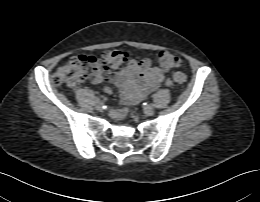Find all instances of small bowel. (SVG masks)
<instances>
[{"instance_id": "small-bowel-1", "label": "small bowel", "mask_w": 260, "mask_h": 202, "mask_svg": "<svg viewBox=\"0 0 260 202\" xmlns=\"http://www.w3.org/2000/svg\"><path fill=\"white\" fill-rule=\"evenodd\" d=\"M102 81L115 84L121 92L122 101L126 104H138L163 83L167 86L172 85V81L166 78L162 70L153 65L148 58L133 59L124 67L105 70L96 74L90 82L97 84ZM103 90L107 94L112 93L110 87L106 86ZM127 114L126 108L113 112V116L117 119H122Z\"/></svg>"}]
</instances>
